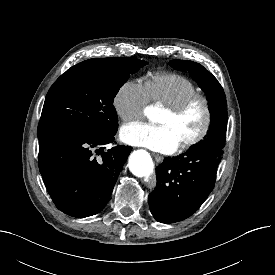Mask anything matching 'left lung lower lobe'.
Instances as JSON below:
<instances>
[{
    "mask_svg": "<svg viewBox=\"0 0 275 275\" xmlns=\"http://www.w3.org/2000/svg\"><path fill=\"white\" fill-rule=\"evenodd\" d=\"M223 148L206 145L165 158L156 168L157 184L149 195L150 211L161 223L184 220L196 212L215 185Z\"/></svg>",
    "mask_w": 275,
    "mask_h": 275,
    "instance_id": "obj_1",
    "label": "left lung lower lobe"
}]
</instances>
